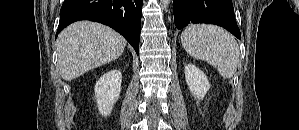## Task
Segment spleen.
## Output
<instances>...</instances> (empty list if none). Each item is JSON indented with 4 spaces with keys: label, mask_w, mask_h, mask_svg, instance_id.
<instances>
[{
    "label": "spleen",
    "mask_w": 299,
    "mask_h": 130,
    "mask_svg": "<svg viewBox=\"0 0 299 130\" xmlns=\"http://www.w3.org/2000/svg\"><path fill=\"white\" fill-rule=\"evenodd\" d=\"M183 48L191 57L215 67L225 78H232L240 62L235 38L218 26L191 24L181 34Z\"/></svg>",
    "instance_id": "obj_1"
}]
</instances>
